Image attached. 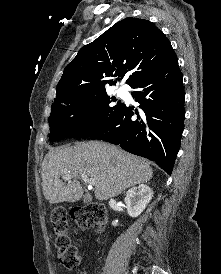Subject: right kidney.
<instances>
[{
  "label": "right kidney",
  "instance_id": "1",
  "mask_svg": "<svg viewBox=\"0 0 221 274\" xmlns=\"http://www.w3.org/2000/svg\"><path fill=\"white\" fill-rule=\"evenodd\" d=\"M153 197L152 189L145 184L129 189L124 199L126 209L131 217H138Z\"/></svg>",
  "mask_w": 221,
  "mask_h": 274
}]
</instances>
